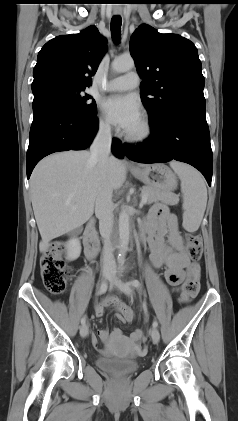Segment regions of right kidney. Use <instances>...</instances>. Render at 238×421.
<instances>
[{"mask_svg": "<svg viewBox=\"0 0 238 421\" xmlns=\"http://www.w3.org/2000/svg\"><path fill=\"white\" fill-rule=\"evenodd\" d=\"M66 259L73 261L76 260L81 253V243L78 238H72L67 242Z\"/></svg>", "mask_w": 238, "mask_h": 421, "instance_id": "obj_1", "label": "right kidney"}]
</instances>
